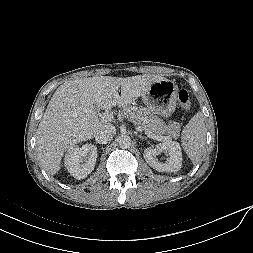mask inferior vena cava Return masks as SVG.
Returning <instances> with one entry per match:
<instances>
[{
    "label": "inferior vena cava",
    "instance_id": "1",
    "mask_svg": "<svg viewBox=\"0 0 253 253\" xmlns=\"http://www.w3.org/2000/svg\"><path fill=\"white\" fill-rule=\"evenodd\" d=\"M116 134L115 126L106 124L101 126L95 134V140L97 143L106 144L110 142L113 136Z\"/></svg>",
    "mask_w": 253,
    "mask_h": 253
}]
</instances>
